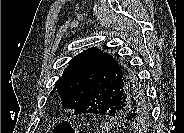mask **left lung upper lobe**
Masks as SVG:
<instances>
[{
    "label": "left lung upper lobe",
    "mask_w": 184,
    "mask_h": 133,
    "mask_svg": "<svg viewBox=\"0 0 184 133\" xmlns=\"http://www.w3.org/2000/svg\"><path fill=\"white\" fill-rule=\"evenodd\" d=\"M101 54V48L92 47L84 50L68 62L69 66L53 89V91L57 90L59 93L63 108L75 110L86 98L88 101L95 100V94L90 96L89 93L94 84ZM106 55L107 60L109 59L114 68L118 69L125 81L127 83L133 82L136 74L130 64L122 62L117 56H111L107 53ZM137 84L141 85L139 80ZM129 112L136 116L135 124L141 126L146 123L150 116V107L145 92L137 97L136 106L130 108Z\"/></svg>",
    "instance_id": "1"
}]
</instances>
